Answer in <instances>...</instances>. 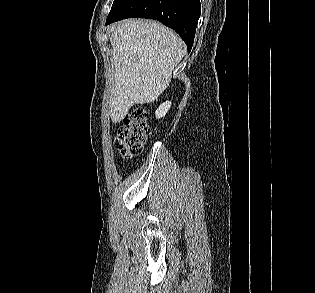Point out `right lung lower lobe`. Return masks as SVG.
Wrapping results in <instances>:
<instances>
[{"label":"right lung lower lobe","mask_w":315,"mask_h":293,"mask_svg":"<svg viewBox=\"0 0 315 293\" xmlns=\"http://www.w3.org/2000/svg\"><path fill=\"white\" fill-rule=\"evenodd\" d=\"M200 12V0H114L106 24L130 17L155 19L174 29L190 52Z\"/></svg>","instance_id":"98d812e1"}]
</instances>
